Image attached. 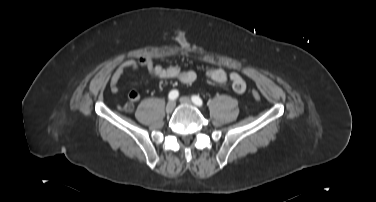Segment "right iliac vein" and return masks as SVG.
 Returning <instances> with one entry per match:
<instances>
[{
	"label": "right iliac vein",
	"instance_id": "1",
	"mask_svg": "<svg viewBox=\"0 0 376 202\" xmlns=\"http://www.w3.org/2000/svg\"><path fill=\"white\" fill-rule=\"evenodd\" d=\"M174 108H175V102L169 101L166 105V112L169 114L174 110Z\"/></svg>",
	"mask_w": 376,
	"mask_h": 202
}]
</instances>
